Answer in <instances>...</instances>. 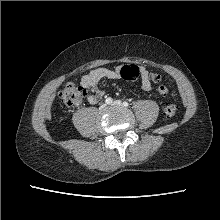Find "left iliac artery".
I'll return each instance as SVG.
<instances>
[{
  "instance_id": "obj_1",
  "label": "left iliac artery",
  "mask_w": 220,
  "mask_h": 220,
  "mask_svg": "<svg viewBox=\"0 0 220 220\" xmlns=\"http://www.w3.org/2000/svg\"><path fill=\"white\" fill-rule=\"evenodd\" d=\"M123 105H124L125 107H127V106H129V103H128L127 101H124V102H123Z\"/></svg>"
}]
</instances>
